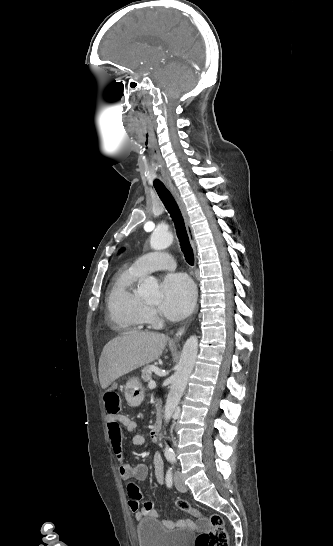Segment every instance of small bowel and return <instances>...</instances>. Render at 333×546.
I'll list each match as a JSON object with an SVG mask.
<instances>
[{
	"mask_svg": "<svg viewBox=\"0 0 333 546\" xmlns=\"http://www.w3.org/2000/svg\"><path fill=\"white\" fill-rule=\"evenodd\" d=\"M111 386L107 387V392L112 393L116 389L112 387L114 384L112 381L109 383ZM107 410V409H106ZM108 435L110 443L117 455L121 454V425L126 427L129 431H134L137 428L135 421L131 420L129 417L118 414L116 416H111L107 412L106 416ZM119 431V432H118ZM132 443L134 445L141 446L145 443V438L142 435L136 434L132 437ZM120 457V456H119ZM154 465V474L158 483H163L165 480L164 474V465L163 460L160 454L156 453L153 459ZM118 472L120 477L125 481L127 493L130 498L129 507L130 510L134 513L135 518L141 519L143 516H151L157 518V513L154 509V505L150 501H146L141 506V493L138 487L135 484V480H144L148 476V467L143 463H126L121 461ZM165 526H172L173 523L168 520L162 521ZM181 524L184 521L180 522Z\"/></svg>",
	"mask_w": 333,
	"mask_h": 546,
	"instance_id": "obj_1",
	"label": "small bowel"
}]
</instances>
